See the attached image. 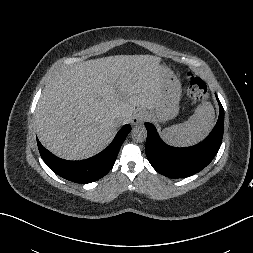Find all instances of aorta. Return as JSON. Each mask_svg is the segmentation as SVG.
<instances>
[{
    "label": "aorta",
    "mask_w": 253,
    "mask_h": 253,
    "mask_svg": "<svg viewBox=\"0 0 253 253\" xmlns=\"http://www.w3.org/2000/svg\"><path fill=\"white\" fill-rule=\"evenodd\" d=\"M131 136L135 142H139V143L144 142L147 137V130L145 126L143 125L135 126L131 131Z\"/></svg>",
    "instance_id": "762f6f07"
}]
</instances>
